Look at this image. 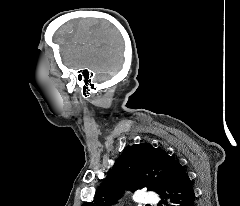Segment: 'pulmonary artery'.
Segmentation results:
<instances>
[{
  "instance_id": "obj_1",
  "label": "pulmonary artery",
  "mask_w": 240,
  "mask_h": 206,
  "mask_svg": "<svg viewBox=\"0 0 240 206\" xmlns=\"http://www.w3.org/2000/svg\"><path fill=\"white\" fill-rule=\"evenodd\" d=\"M137 201L144 205H153L158 202V197L154 193L142 191L138 194Z\"/></svg>"
}]
</instances>
